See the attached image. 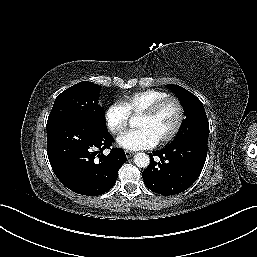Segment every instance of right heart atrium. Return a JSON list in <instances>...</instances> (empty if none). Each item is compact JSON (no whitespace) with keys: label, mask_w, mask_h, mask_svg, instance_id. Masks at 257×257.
<instances>
[{"label":"right heart atrium","mask_w":257,"mask_h":257,"mask_svg":"<svg viewBox=\"0 0 257 257\" xmlns=\"http://www.w3.org/2000/svg\"><path fill=\"white\" fill-rule=\"evenodd\" d=\"M105 122L114 135L122 134L129 126L130 113L121 101L111 103L104 114Z\"/></svg>","instance_id":"1"}]
</instances>
